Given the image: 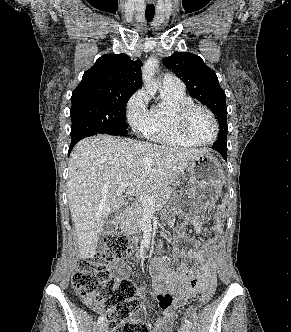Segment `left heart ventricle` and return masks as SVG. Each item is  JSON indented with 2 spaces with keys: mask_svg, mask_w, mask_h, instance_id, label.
<instances>
[{
  "mask_svg": "<svg viewBox=\"0 0 291 332\" xmlns=\"http://www.w3.org/2000/svg\"><path fill=\"white\" fill-rule=\"evenodd\" d=\"M190 133L200 141H209L213 138L215 130L211 118L202 110H196L189 120Z\"/></svg>",
  "mask_w": 291,
  "mask_h": 332,
  "instance_id": "obj_1",
  "label": "left heart ventricle"
}]
</instances>
